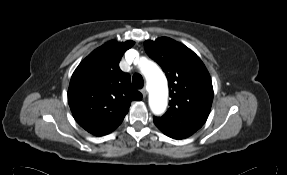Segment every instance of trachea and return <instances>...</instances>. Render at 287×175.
Instances as JSON below:
<instances>
[{
    "label": "trachea",
    "mask_w": 287,
    "mask_h": 175,
    "mask_svg": "<svg viewBox=\"0 0 287 175\" xmlns=\"http://www.w3.org/2000/svg\"><path fill=\"white\" fill-rule=\"evenodd\" d=\"M132 84L134 85L135 88L141 89L144 85L142 76L138 73H135L132 77Z\"/></svg>",
    "instance_id": "trachea-1"
}]
</instances>
